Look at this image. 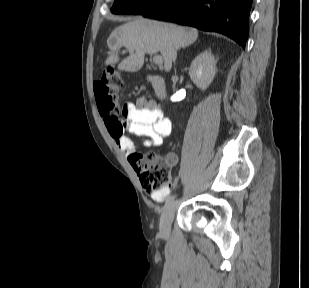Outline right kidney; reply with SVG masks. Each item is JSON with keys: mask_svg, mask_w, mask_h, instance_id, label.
Returning a JSON list of instances; mask_svg holds the SVG:
<instances>
[{"mask_svg": "<svg viewBox=\"0 0 309 288\" xmlns=\"http://www.w3.org/2000/svg\"><path fill=\"white\" fill-rule=\"evenodd\" d=\"M216 73V61L210 51L199 54L191 63L189 76L201 90H206Z\"/></svg>", "mask_w": 309, "mask_h": 288, "instance_id": "1", "label": "right kidney"}]
</instances>
